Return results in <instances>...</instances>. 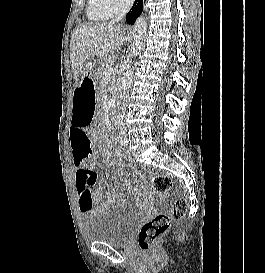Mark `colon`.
I'll return each mask as SVG.
<instances>
[{"label":"colon","mask_w":265,"mask_h":273,"mask_svg":"<svg viewBox=\"0 0 265 273\" xmlns=\"http://www.w3.org/2000/svg\"><path fill=\"white\" fill-rule=\"evenodd\" d=\"M172 186V180L167 175H158L153 179V187L157 192H165ZM188 206L185 197L177 198L170 210L165 213H159L153 219L145 222L138 235V245L146 250L153 245L170 228L173 220H179L184 217Z\"/></svg>","instance_id":"colon-1"}]
</instances>
